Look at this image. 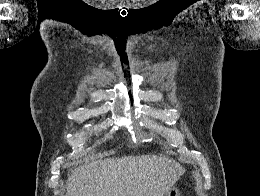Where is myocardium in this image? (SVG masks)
<instances>
[{
	"label": "myocardium",
	"instance_id": "f54148a6",
	"mask_svg": "<svg viewBox=\"0 0 260 196\" xmlns=\"http://www.w3.org/2000/svg\"><path fill=\"white\" fill-rule=\"evenodd\" d=\"M97 192H109L108 190H97Z\"/></svg>",
	"mask_w": 260,
	"mask_h": 196
}]
</instances>
